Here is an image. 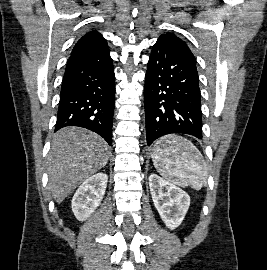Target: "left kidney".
<instances>
[{
	"label": "left kidney",
	"instance_id": "1",
	"mask_svg": "<svg viewBox=\"0 0 267 270\" xmlns=\"http://www.w3.org/2000/svg\"><path fill=\"white\" fill-rule=\"evenodd\" d=\"M149 186L154 206L162 221L169 229H176L190 206L189 195L157 174L149 176Z\"/></svg>",
	"mask_w": 267,
	"mask_h": 270
}]
</instances>
